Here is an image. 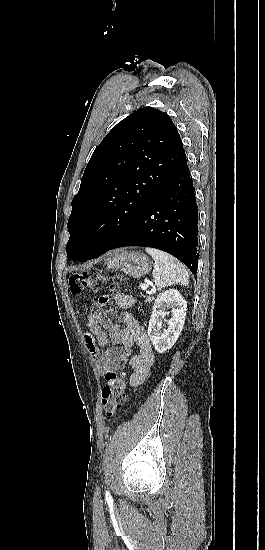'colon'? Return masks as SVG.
Returning a JSON list of instances; mask_svg holds the SVG:
<instances>
[{
  "instance_id": "obj_1",
  "label": "colon",
  "mask_w": 265,
  "mask_h": 550,
  "mask_svg": "<svg viewBox=\"0 0 265 550\" xmlns=\"http://www.w3.org/2000/svg\"><path fill=\"white\" fill-rule=\"evenodd\" d=\"M120 281L119 277L114 278V286H117ZM104 284V277L99 269L90 268L87 270L77 271L73 273L69 279L70 289L73 293H82L85 291H98ZM100 304H108L110 310H114L111 306V300L104 295L99 297ZM107 385L102 389L101 406L107 416H112L114 412L120 409L126 402L127 391V374L125 369L113 370L110 369L105 374Z\"/></svg>"
}]
</instances>
